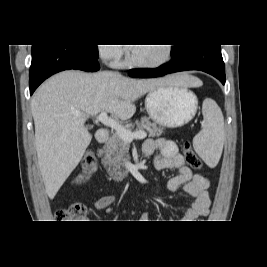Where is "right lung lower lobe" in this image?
Wrapping results in <instances>:
<instances>
[{"label": "right lung lower lobe", "mask_w": 267, "mask_h": 267, "mask_svg": "<svg viewBox=\"0 0 267 267\" xmlns=\"http://www.w3.org/2000/svg\"><path fill=\"white\" fill-rule=\"evenodd\" d=\"M70 69L96 72L100 69V65L97 57L78 45H32L29 79L30 95L51 75Z\"/></svg>", "instance_id": "right-lung-lower-lobe-1"}]
</instances>
